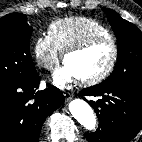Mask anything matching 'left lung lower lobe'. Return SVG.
<instances>
[{
	"mask_svg": "<svg viewBox=\"0 0 142 142\" xmlns=\"http://www.w3.org/2000/svg\"><path fill=\"white\" fill-rule=\"evenodd\" d=\"M81 95L100 97L88 101L99 120L96 132L84 134L88 142H130L140 131L142 84H97L83 89Z\"/></svg>",
	"mask_w": 142,
	"mask_h": 142,
	"instance_id": "0a47b994",
	"label": "left lung lower lobe"
}]
</instances>
